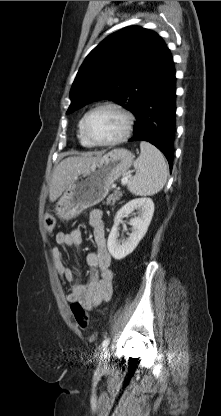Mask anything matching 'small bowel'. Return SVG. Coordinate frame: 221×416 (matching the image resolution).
<instances>
[{"instance_id": "obj_1", "label": "small bowel", "mask_w": 221, "mask_h": 416, "mask_svg": "<svg viewBox=\"0 0 221 416\" xmlns=\"http://www.w3.org/2000/svg\"><path fill=\"white\" fill-rule=\"evenodd\" d=\"M89 225L93 231V240L96 250L86 255V263L90 268V276L87 284H82L80 274L67 267L63 254L58 247L51 250L56 272L67 283L71 284V290L66 295L68 302H79L86 310H92L103 302H108L113 294L114 273L111 268V255L106 246L105 223L100 210H93L89 215ZM59 245L81 247L84 236L80 229L70 232H59L56 235Z\"/></svg>"}]
</instances>
